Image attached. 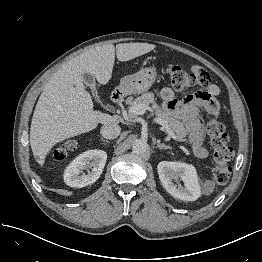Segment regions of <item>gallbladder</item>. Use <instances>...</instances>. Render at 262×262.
I'll use <instances>...</instances> for the list:
<instances>
[{"instance_id":"1","label":"gallbladder","mask_w":262,"mask_h":262,"mask_svg":"<svg viewBox=\"0 0 262 262\" xmlns=\"http://www.w3.org/2000/svg\"><path fill=\"white\" fill-rule=\"evenodd\" d=\"M82 80L83 82L88 85L89 87H91L92 89V94L94 96H97V91L95 89V86H96V81H95V77L92 75V74H89V73H84L82 75Z\"/></svg>"}]
</instances>
